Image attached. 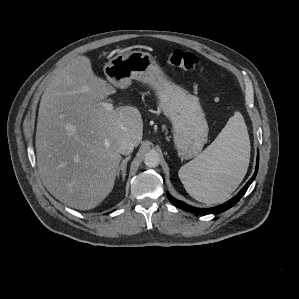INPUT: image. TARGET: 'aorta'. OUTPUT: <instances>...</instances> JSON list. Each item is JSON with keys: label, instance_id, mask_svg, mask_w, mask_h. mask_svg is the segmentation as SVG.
<instances>
[{"label": "aorta", "instance_id": "obj_1", "mask_svg": "<svg viewBox=\"0 0 299 299\" xmlns=\"http://www.w3.org/2000/svg\"><path fill=\"white\" fill-rule=\"evenodd\" d=\"M160 157L156 151H149L145 154L144 163L149 168H154L159 165Z\"/></svg>", "mask_w": 299, "mask_h": 299}]
</instances>
